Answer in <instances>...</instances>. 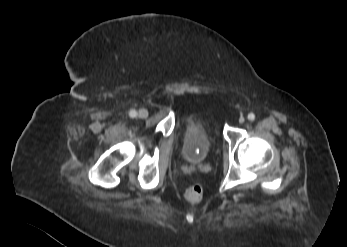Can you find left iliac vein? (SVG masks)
<instances>
[{
	"label": "left iliac vein",
	"mask_w": 347,
	"mask_h": 247,
	"mask_svg": "<svg viewBox=\"0 0 347 247\" xmlns=\"http://www.w3.org/2000/svg\"><path fill=\"white\" fill-rule=\"evenodd\" d=\"M244 122H245V118H244V117H240V118H239V123L242 124V123H244Z\"/></svg>",
	"instance_id": "obj_1"
}]
</instances>
